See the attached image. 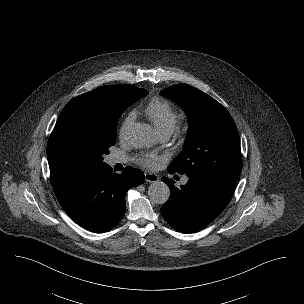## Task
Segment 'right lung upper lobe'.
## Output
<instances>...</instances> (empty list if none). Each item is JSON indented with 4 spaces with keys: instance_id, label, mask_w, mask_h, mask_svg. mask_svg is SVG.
Instances as JSON below:
<instances>
[{
    "instance_id": "1",
    "label": "right lung upper lobe",
    "mask_w": 304,
    "mask_h": 304,
    "mask_svg": "<svg viewBox=\"0 0 304 304\" xmlns=\"http://www.w3.org/2000/svg\"><path fill=\"white\" fill-rule=\"evenodd\" d=\"M131 85H108L73 98L62 110L47 144L51 182L56 196L75 185L92 169L82 157L62 140L65 120L79 109L118 104Z\"/></svg>"
}]
</instances>
